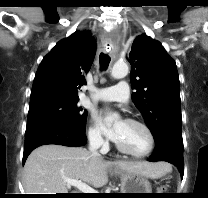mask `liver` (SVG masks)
<instances>
[{
	"mask_svg": "<svg viewBox=\"0 0 208 198\" xmlns=\"http://www.w3.org/2000/svg\"><path fill=\"white\" fill-rule=\"evenodd\" d=\"M136 173L152 179L169 170L164 163L105 161L80 147L43 145L27 158L23 173L25 194L68 193L64 179L80 180L94 187L108 182V172Z\"/></svg>",
	"mask_w": 208,
	"mask_h": 198,
	"instance_id": "liver-1",
	"label": "liver"
}]
</instances>
